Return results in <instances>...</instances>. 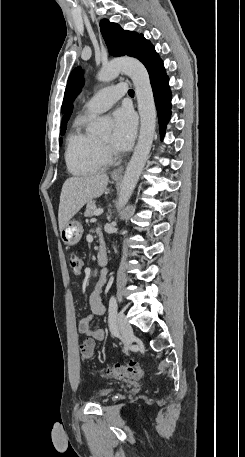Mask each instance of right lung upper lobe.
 I'll use <instances>...</instances> for the list:
<instances>
[{"instance_id":"cb5924a9","label":"right lung upper lobe","mask_w":245,"mask_h":457,"mask_svg":"<svg viewBox=\"0 0 245 457\" xmlns=\"http://www.w3.org/2000/svg\"><path fill=\"white\" fill-rule=\"evenodd\" d=\"M71 113H72V106L69 108V110L66 112V114L64 115V117L62 119L61 130L66 129V123H67Z\"/></svg>"}]
</instances>
